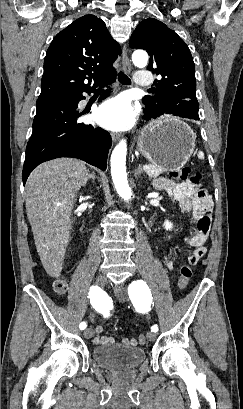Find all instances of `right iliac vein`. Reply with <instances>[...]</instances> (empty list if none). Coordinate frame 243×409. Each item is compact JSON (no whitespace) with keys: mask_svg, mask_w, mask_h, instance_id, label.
<instances>
[{"mask_svg":"<svg viewBox=\"0 0 243 409\" xmlns=\"http://www.w3.org/2000/svg\"><path fill=\"white\" fill-rule=\"evenodd\" d=\"M106 283H107V279H106V277L104 275L97 276V278H96V285L97 286L104 287L106 285ZM83 335H84V337L86 339H89V338H91L93 336V330L88 328V329H86L84 331Z\"/></svg>","mask_w":243,"mask_h":409,"instance_id":"right-iliac-vein-1","label":"right iliac vein"}]
</instances>
